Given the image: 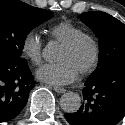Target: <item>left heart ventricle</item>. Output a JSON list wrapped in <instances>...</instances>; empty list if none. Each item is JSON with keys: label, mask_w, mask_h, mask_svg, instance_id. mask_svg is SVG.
I'll return each instance as SVG.
<instances>
[{"label": "left heart ventricle", "mask_w": 125, "mask_h": 125, "mask_svg": "<svg viewBox=\"0 0 125 125\" xmlns=\"http://www.w3.org/2000/svg\"><path fill=\"white\" fill-rule=\"evenodd\" d=\"M93 54L92 44L88 40L81 41L75 48L60 47L57 60L68 61L78 73L90 62Z\"/></svg>", "instance_id": "1"}]
</instances>
